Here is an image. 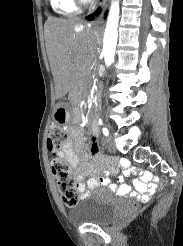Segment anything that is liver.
<instances>
[{
	"instance_id": "1",
	"label": "liver",
	"mask_w": 183,
	"mask_h": 246,
	"mask_svg": "<svg viewBox=\"0 0 183 246\" xmlns=\"http://www.w3.org/2000/svg\"><path fill=\"white\" fill-rule=\"evenodd\" d=\"M99 35L74 20L51 18L46 25V49L56 97L66 95L91 65Z\"/></svg>"
}]
</instances>
